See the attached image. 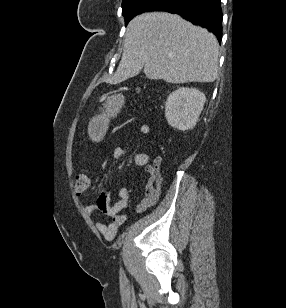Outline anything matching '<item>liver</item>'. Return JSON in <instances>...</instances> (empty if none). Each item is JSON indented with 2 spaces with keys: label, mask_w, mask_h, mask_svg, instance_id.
Here are the masks:
<instances>
[{
  "label": "liver",
  "mask_w": 286,
  "mask_h": 308,
  "mask_svg": "<svg viewBox=\"0 0 286 308\" xmlns=\"http://www.w3.org/2000/svg\"><path fill=\"white\" fill-rule=\"evenodd\" d=\"M216 37L178 15L144 13L128 24L121 61L109 79L118 84L142 70L168 83L213 82L218 75Z\"/></svg>",
  "instance_id": "1"
}]
</instances>
